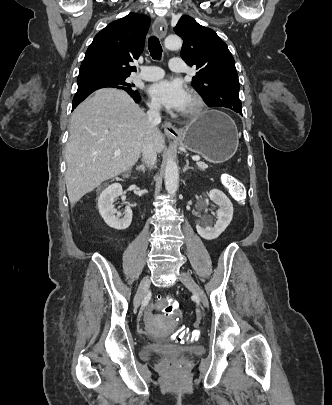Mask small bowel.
Wrapping results in <instances>:
<instances>
[{
    "label": "small bowel",
    "mask_w": 332,
    "mask_h": 405,
    "mask_svg": "<svg viewBox=\"0 0 332 405\" xmlns=\"http://www.w3.org/2000/svg\"><path fill=\"white\" fill-rule=\"evenodd\" d=\"M160 293L162 297H169L171 292L169 288H162ZM157 342H163V337H157Z\"/></svg>",
    "instance_id": "1"
}]
</instances>
